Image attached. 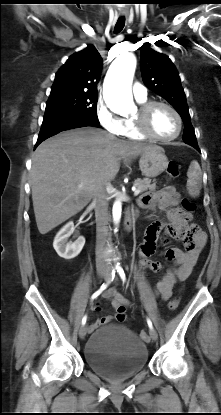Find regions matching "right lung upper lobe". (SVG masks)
<instances>
[{"mask_svg": "<svg viewBox=\"0 0 221 415\" xmlns=\"http://www.w3.org/2000/svg\"><path fill=\"white\" fill-rule=\"evenodd\" d=\"M102 58L92 45L69 57L58 70L51 93L63 91L97 92Z\"/></svg>", "mask_w": 221, "mask_h": 415, "instance_id": "right-lung-upper-lobe-1", "label": "right lung upper lobe"}]
</instances>
